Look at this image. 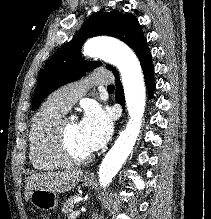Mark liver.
Here are the masks:
<instances>
[{
    "label": "liver",
    "instance_id": "6515ba94",
    "mask_svg": "<svg viewBox=\"0 0 211 219\" xmlns=\"http://www.w3.org/2000/svg\"><path fill=\"white\" fill-rule=\"evenodd\" d=\"M83 171H61L49 173H36L26 178L25 199L33 190H46L53 193H63L74 188L82 179Z\"/></svg>",
    "mask_w": 211,
    "mask_h": 219
}]
</instances>
